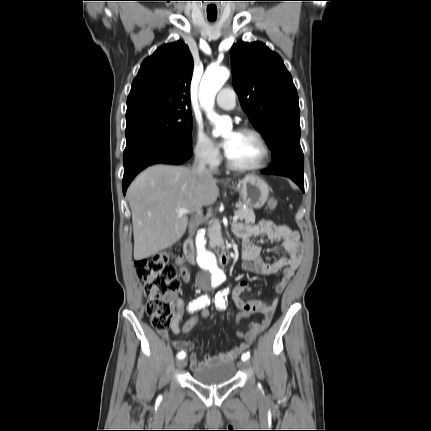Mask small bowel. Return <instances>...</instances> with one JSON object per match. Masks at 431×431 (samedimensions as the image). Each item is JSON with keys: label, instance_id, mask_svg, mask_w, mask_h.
Masks as SVG:
<instances>
[{"label": "small bowel", "instance_id": "1", "mask_svg": "<svg viewBox=\"0 0 431 431\" xmlns=\"http://www.w3.org/2000/svg\"><path fill=\"white\" fill-rule=\"evenodd\" d=\"M234 232L242 239V269L259 276L281 273L282 277L276 284L275 291L278 294L282 293L299 265L298 233L285 225H277L269 220H262L255 225H235ZM262 235L267 236L271 241L281 243L284 254L280 259L268 263L261 258V247L253 243L251 238ZM176 262L183 281L186 283L190 282L191 275L186 267L184 259L178 257ZM251 292L252 288L249 282L242 279L230 290V295L232 301L239 310H249L251 315L261 314L263 317L259 322L253 323L250 331L246 332L245 335L240 338L243 340L241 343L227 352L214 356H201L200 353L194 349V345L191 341L171 340L166 330L159 331V334L164 339L170 341L178 351L184 352L185 354L190 351L191 368L194 370L232 362L239 355L244 353L256 337L269 326L278 305V298H275L271 303L262 300H245L243 296ZM173 303L176 307V313L171 320L170 330L173 334L177 335L183 330V327L180 328V321L184 313V302L182 299L175 297Z\"/></svg>", "mask_w": 431, "mask_h": 431}]
</instances>
